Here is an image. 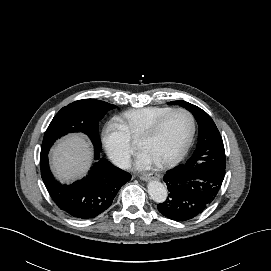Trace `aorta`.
Masks as SVG:
<instances>
[{"label": "aorta", "instance_id": "aorta-1", "mask_svg": "<svg viewBox=\"0 0 271 271\" xmlns=\"http://www.w3.org/2000/svg\"><path fill=\"white\" fill-rule=\"evenodd\" d=\"M148 193L153 201L156 203H163L168 196L167 188L159 181L151 180L148 185Z\"/></svg>", "mask_w": 271, "mask_h": 271}]
</instances>
